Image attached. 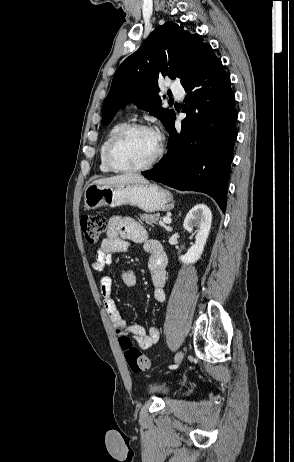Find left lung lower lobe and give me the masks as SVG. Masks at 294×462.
<instances>
[{
  "label": "left lung lower lobe",
  "instance_id": "1",
  "mask_svg": "<svg viewBox=\"0 0 294 462\" xmlns=\"http://www.w3.org/2000/svg\"><path fill=\"white\" fill-rule=\"evenodd\" d=\"M183 87L188 95L181 132L174 116L167 127V155L143 175L178 190L204 192L225 213L238 116L230 77L216 58Z\"/></svg>",
  "mask_w": 294,
  "mask_h": 462
}]
</instances>
